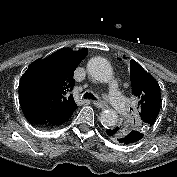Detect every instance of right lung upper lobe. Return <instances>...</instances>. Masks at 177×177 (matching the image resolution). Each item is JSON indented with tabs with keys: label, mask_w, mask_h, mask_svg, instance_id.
I'll return each instance as SVG.
<instances>
[{
	"label": "right lung upper lobe",
	"mask_w": 177,
	"mask_h": 177,
	"mask_svg": "<svg viewBox=\"0 0 177 177\" xmlns=\"http://www.w3.org/2000/svg\"><path fill=\"white\" fill-rule=\"evenodd\" d=\"M88 50L61 49L31 65L19 84V99L24 113L64 123L77 108L69 92L74 87L73 73Z\"/></svg>",
	"instance_id": "obj_1"
}]
</instances>
